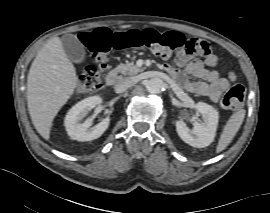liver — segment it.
Returning a JSON list of instances; mask_svg holds the SVG:
<instances>
[{"label":"liver","instance_id":"6515ba94","mask_svg":"<svg viewBox=\"0 0 270 213\" xmlns=\"http://www.w3.org/2000/svg\"><path fill=\"white\" fill-rule=\"evenodd\" d=\"M130 26H121L127 28ZM78 78L59 37L50 38L40 49L27 77V104L32 123L45 139L50 138L52 122L72 96Z\"/></svg>","mask_w":270,"mask_h":213}]
</instances>
